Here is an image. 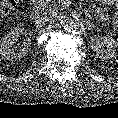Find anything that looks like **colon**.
Wrapping results in <instances>:
<instances>
[{"mask_svg": "<svg viewBox=\"0 0 118 118\" xmlns=\"http://www.w3.org/2000/svg\"><path fill=\"white\" fill-rule=\"evenodd\" d=\"M15 1L18 0H0V13L4 14L5 12H7L10 4Z\"/></svg>", "mask_w": 118, "mask_h": 118, "instance_id": "5ec220e1", "label": "colon"}]
</instances>
